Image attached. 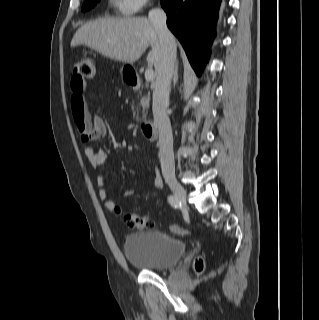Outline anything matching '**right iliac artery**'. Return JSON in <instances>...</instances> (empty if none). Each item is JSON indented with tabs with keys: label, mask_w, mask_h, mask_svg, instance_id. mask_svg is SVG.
<instances>
[{
	"label": "right iliac artery",
	"mask_w": 319,
	"mask_h": 320,
	"mask_svg": "<svg viewBox=\"0 0 319 320\" xmlns=\"http://www.w3.org/2000/svg\"><path fill=\"white\" fill-rule=\"evenodd\" d=\"M168 202L170 203L171 206L173 207H178L180 202L176 196L170 195L168 196Z\"/></svg>",
	"instance_id": "right-iliac-artery-1"
}]
</instances>
